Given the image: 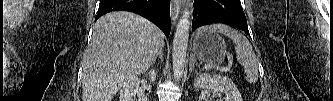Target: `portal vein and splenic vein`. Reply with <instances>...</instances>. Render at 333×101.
<instances>
[{"instance_id":"portal-vein-and-splenic-vein-1","label":"portal vein and splenic vein","mask_w":333,"mask_h":101,"mask_svg":"<svg viewBox=\"0 0 333 101\" xmlns=\"http://www.w3.org/2000/svg\"><path fill=\"white\" fill-rule=\"evenodd\" d=\"M228 58H229V63H228V66L227 67H223V68H221V70L222 71H230V69H231V66H232V58L230 57V56H228ZM211 66L210 65H205V68L207 69V68H210Z\"/></svg>"}]
</instances>
